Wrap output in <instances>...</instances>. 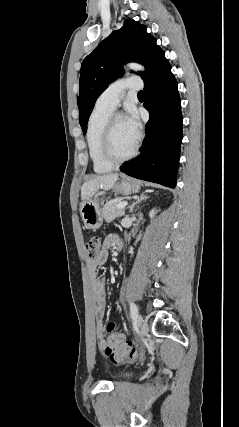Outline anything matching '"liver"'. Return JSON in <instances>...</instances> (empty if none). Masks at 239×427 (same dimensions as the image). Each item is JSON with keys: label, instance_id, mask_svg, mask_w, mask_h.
Here are the masks:
<instances>
[{"label": "liver", "instance_id": "1", "mask_svg": "<svg viewBox=\"0 0 239 427\" xmlns=\"http://www.w3.org/2000/svg\"><path fill=\"white\" fill-rule=\"evenodd\" d=\"M118 180V174H106L96 176L95 178L86 181L81 188V199L86 201L91 199L96 192L102 188L103 190H110Z\"/></svg>", "mask_w": 239, "mask_h": 427}]
</instances>
